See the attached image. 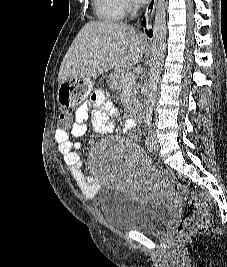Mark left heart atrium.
Instances as JSON below:
<instances>
[{
    "instance_id": "obj_1",
    "label": "left heart atrium",
    "mask_w": 227,
    "mask_h": 267,
    "mask_svg": "<svg viewBox=\"0 0 227 267\" xmlns=\"http://www.w3.org/2000/svg\"><path fill=\"white\" fill-rule=\"evenodd\" d=\"M136 2H138V3H145V2H147L148 0H135Z\"/></svg>"
}]
</instances>
